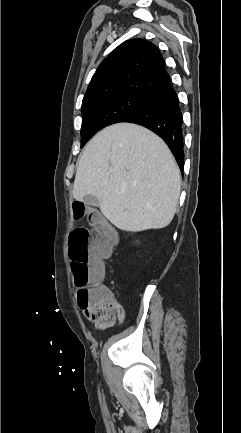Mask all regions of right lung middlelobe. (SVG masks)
Instances as JSON below:
<instances>
[{
	"label": "right lung middle lobe",
	"instance_id": "1",
	"mask_svg": "<svg viewBox=\"0 0 241 433\" xmlns=\"http://www.w3.org/2000/svg\"><path fill=\"white\" fill-rule=\"evenodd\" d=\"M148 94L122 92L82 102L81 147L102 128L122 122L139 109Z\"/></svg>",
	"mask_w": 241,
	"mask_h": 433
}]
</instances>
